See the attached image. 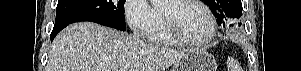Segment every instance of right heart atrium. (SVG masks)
I'll return each instance as SVG.
<instances>
[{
  "mask_svg": "<svg viewBox=\"0 0 301 71\" xmlns=\"http://www.w3.org/2000/svg\"><path fill=\"white\" fill-rule=\"evenodd\" d=\"M125 17L132 32L139 37H148L158 21V13L147 0H127Z\"/></svg>",
  "mask_w": 301,
  "mask_h": 71,
  "instance_id": "right-heart-atrium-1",
  "label": "right heart atrium"
}]
</instances>
